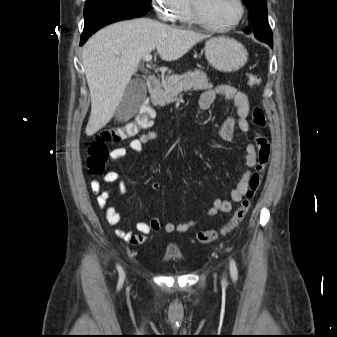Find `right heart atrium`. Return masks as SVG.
Wrapping results in <instances>:
<instances>
[{
  "label": "right heart atrium",
  "mask_w": 337,
  "mask_h": 337,
  "mask_svg": "<svg viewBox=\"0 0 337 337\" xmlns=\"http://www.w3.org/2000/svg\"><path fill=\"white\" fill-rule=\"evenodd\" d=\"M182 0H152L158 17L167 22L176 20V15L181 7Z\"/></svg>",
  "instance_id": "d8ad5b80"
}]
</instances>
